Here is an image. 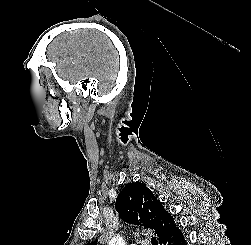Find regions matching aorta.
Returning <instances> with one entry per match:
<instances>
[{
  "mask_svg": "<svg viewBox=\"0 0 251 245\" xmlns=\"http://www.w3.org/2000/svg\"><path fill=\"white\" fill-rule=\"evenodd\" d=\"M109 245H125L124 243V240L117 236V237H114L110 242H109Z\"/></svg>",
  "mask_w": 251,
  "mask_h": 245,
  "instance_id": "1",
  "label": "aorta"
}]
</instances>
